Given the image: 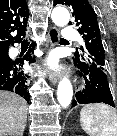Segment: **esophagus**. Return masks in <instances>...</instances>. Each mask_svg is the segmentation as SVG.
Masks as SVG:
<instances>
[{
  "mask_svg": "<svg viewBox=\"0 0 117 136\" xmlns=\"http://www.w3.org/2000/svg\"><path fill=\"white\" fill-rule=\"evenodd\" d=\"M49 36V48H53L59 41V33L56 27H51L48 33ZM49 81L52 84H56L59 81L60 73L57 71H50L49 72Z\"/></svg>",
  "mask_w": 117,
  "mask_h": 136,
  "instance_id": "obj_1",
  "label": "esophagus"
}]
</instances>
